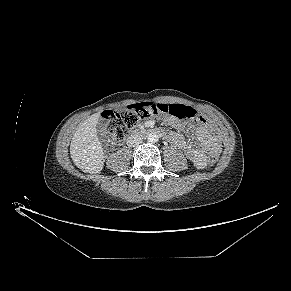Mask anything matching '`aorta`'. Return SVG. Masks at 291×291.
Segmentation results:
<instances>
[{
  "label": "aorta",
  "mask_w": 291,
  "mask_h": 291,
  "mask_svg": "<svg viewBox=\"0 0 291 291\" xmlns=\"http://www.w3.org/2000/svg\"><path fill=\"white\" fill-rule=\"evenodd\" d=\"M158 139H159V137H158V135L155 134V133H151V134H149V136H148V141H149L150 143H156V142L158 141Z\"/></svg>",
  "instance_id": "aorta-1"
}]
</instances>
